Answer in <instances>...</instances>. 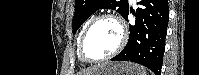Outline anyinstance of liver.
<instances>
[{
    "label": "liver",
    "instance_id": "liver-1",
    "mask_svg": "<svg viewBox=\"0 0 199 75\" xmlns=\"http://www.w3.org/2000/svg\"><path fill=\"white\" fill-rule=\"evenodd\" d=\"M94 72V69L82 71L79 75H91Z\"/></svg>",
    "mask_w": 199,
    "mask_h": 75
}]
</instances>
